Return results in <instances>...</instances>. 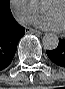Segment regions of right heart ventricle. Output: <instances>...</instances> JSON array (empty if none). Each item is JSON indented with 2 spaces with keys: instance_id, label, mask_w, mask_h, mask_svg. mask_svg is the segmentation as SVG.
<instances>
[{
  "instance_id": "1",
  "label": "right heart ventricle",
  "mask_w": 65,
  "mask_h": 89,
  "mask_svg": "<svg viewBox=\"0 0 65 89\" xmlns=\"http://www.w3.org/2000/svg\"><path fill=\"white\" fill-rule=\"evenodd\" d=\"M38 3H44V1L43 0H40V1H37Z\"/></svg>"
}]
</instances>
